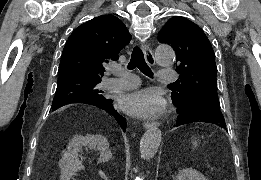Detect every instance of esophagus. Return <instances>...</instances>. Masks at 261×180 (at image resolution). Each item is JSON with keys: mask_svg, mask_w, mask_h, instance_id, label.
<instances>
[{"mask_svg": "<svg viewBox=\"0 0 261 180\" xmlns=\"http://www.w3.org/2000/svg\"><path fill=\"white\" fill-rule=\"evenodd\" d=\"M142 48H143L144 56H145L147 63L149 65H154L155 58H154V54H153L150 46L147 44H144ZM157 126H158V122H155V121L144 122V128H146V129H149V128L151 129V128L157 127Z\"/></svg>", "mask_w": 261, "mask_h": 180, "instance_id": "1", "label": "esophagus"}]
</instances>
